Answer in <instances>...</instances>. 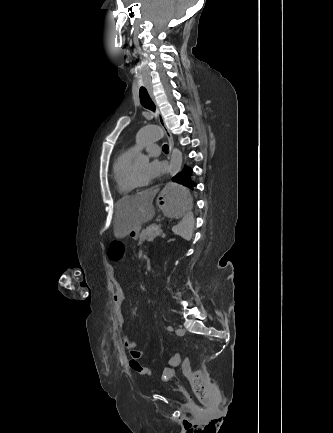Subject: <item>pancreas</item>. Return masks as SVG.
Here are the masks:
<instances>
[{"label": "pancreas", "mask_w": 333, "mask_h": 433, "mask_svg": "<svg viewBox=\"0 0 333 433\" xmlns=\"http://www.w3.org/2000/svg\"><path fill=\"white\" fill-rule=\"evenodd\" d=\"M162 225L161 224H152L148 226L146 229L142 230L139 234V241L138 244L141 245L145 240H148V238L151 235H155L158 231H161Z\"/></svg>", "instance_id": "cf45deb5"}]
</instances>
